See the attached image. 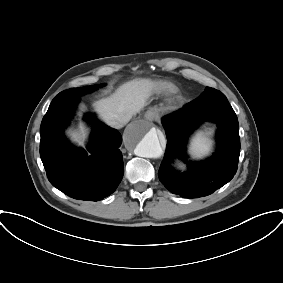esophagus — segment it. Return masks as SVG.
Masks as SVG:
<instances>
[{"label": "esophagus", "instance_id": "1", "mask_svg": "<svg viewBox=\"0 0 283 283\" xmlns=\"http://www.w3.org/2000/svg\"><path fill=\"white\" fill-rule=\"evenodd\" d=\"M145 119L148 121H153L156 118V113L153 110H148L145 115Z\"/></svg>", "mask_w": 283, "mask_h": 283}]
</instances>
